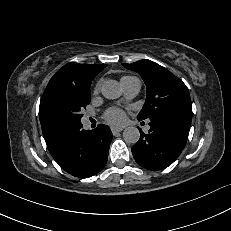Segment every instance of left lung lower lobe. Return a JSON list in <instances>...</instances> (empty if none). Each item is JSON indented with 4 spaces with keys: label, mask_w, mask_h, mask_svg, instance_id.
Instances as JSON below:
<instances>
[{
    "label": "left lung lower lobe",
    "mask_w": 231,
    "mask_h": 231,
    "mask_svg": "<svg viewBox=\"0 0 231 231\" xmlns=\"http://www.w3.org/2000/svg\"><path fill=\"white\" fill-rule=\"evenodd\" d=\"M148 134L140 129V139L132 147L136 162L150 170L171 165L185 147L192 118L158 114L150 119Z\"/></svg>",
    "instance_id": "1"
}]
</instances>
